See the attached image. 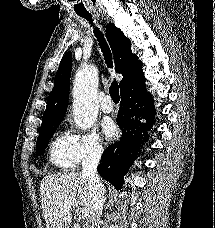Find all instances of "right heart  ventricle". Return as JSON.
Returning a JSON list of instances; mask_svg holds the SVG:
<instances>
[{"mask_svg":"<svg viewBox=\"0 0 215 228\" xmlns=\"http://www.w3.org/2000/svg\"><path fill=\"white\" fill-rule=\"evenodd\" d=\"M51 164L61 170H73L77 166L75 137L68 133L59 134L49 150Z\"/></svg>","mask_w":215,"mask_h":228,"instance_id":"e07e8e85","label":"right heart ventricle"}]
</instances>
